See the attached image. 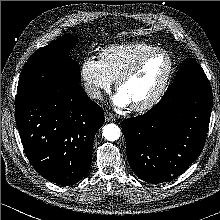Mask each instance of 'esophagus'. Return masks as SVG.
<instances>
[{
    "label": "esophagus",
    "instance_id": "34e87169",
    "mask_svg": "<svg viewBox=\"0 0 220 220\" xmlns=\"http://www.w3.org/2000/svg\"><path fill=\"white\" fill-rule=\"evenodd\" d=\"M105 120L107 122L114 121L115 116L113 114H111L110 112H105Z\"/></svg>",
    "mask_w": 220,
    "mask_h": 220
}]
</instances>
